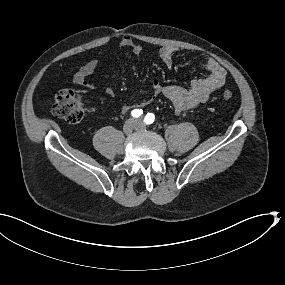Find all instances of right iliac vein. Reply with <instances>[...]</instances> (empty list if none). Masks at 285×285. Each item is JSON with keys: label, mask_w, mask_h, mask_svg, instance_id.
Returning <instances> with one entry per match:
<instances>
[{"label": "right iliac vein", "mask_w": 285, "mask_h": 285, "mask_svg": "<svg viewBox=\"0 0 285 285\" xmlns=\"http://www.w3.org/2000/svg\"><path fill=\"white\" fill-rule=\"evenodd\" d=\"M136 129H137V123L134 120L127 121L123 126V132L125 134H130Z\"/></svg>", "instance_id": "63e3f726"}]
</instances>
